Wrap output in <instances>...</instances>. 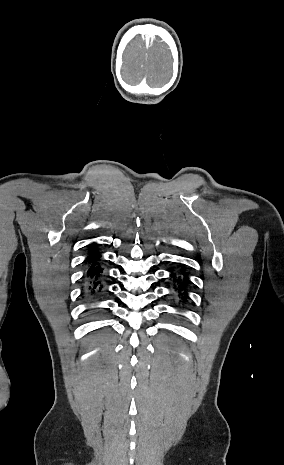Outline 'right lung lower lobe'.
I'll return each instance as SVG.
<instances>
[{
    "instance_id": "1",
    "label": "right lung lower lobe",
    "mask_w": 284,
    "mask_h": 465,
    "mask_svg": "<svg viewBox=\"0 0 284 465\" xmlns=\"http://www.w3.org/2000/svg\"><path fill=\"white\" fill-rule=\"evenodd\" d=\"M96 246L97 244H91L89 246L88 257L85 260V263L88 265V267L85 276L87 287L84 295L85 297H88L89 300H97L100 296L103 295L105 292L103 289L105 284L104 282L106 281L105 278L109 277L104 274V269L100 263L101 252L97 251L95 248Z\"/></svg>"
}]
</instances>
